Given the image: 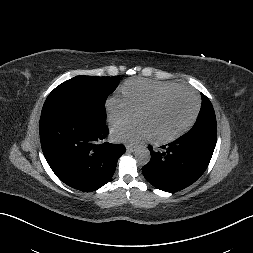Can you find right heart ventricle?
Returning a JSON list of instances; mask_svg holds the SVG:
<instances>
[{"mask_svg":"<svg viewBox=\"0 0 253 253\" xmlns=\"http://www.w3.org/2000/svg\"><path fill=\"white\" fill-rule=\"evenodd\" d=\"M178 86L171 82L133 79L127 81L121 88L123 98L134 111L151 100L158 93Z\"/></svg>","mask_w":253,"mask_h":253,"instance_id":"obj_1","label":"right heart ventricle"}]
</instances>
